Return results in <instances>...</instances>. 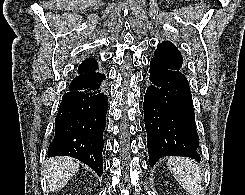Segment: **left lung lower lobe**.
Masks as SVG:
<instances>
[{
	"label": "left lung lower lobe",
	"mask_w": 245,
	"mask_h": 195,
	"mask_svg": "<svg viewBox=\"0 0 245 195\" xmlns=\"http://www.w3.org/2000/svg\"><path fill=\"white\" fill-rule=\"evenodd\" d=\"M149 82L143 109L150 166L171 155L200 161L192 95L183 71L153 57Z\"/></svg>",
	"instance_id": "0a47b994"
}]
</instances>
